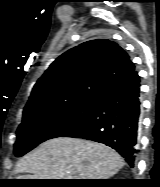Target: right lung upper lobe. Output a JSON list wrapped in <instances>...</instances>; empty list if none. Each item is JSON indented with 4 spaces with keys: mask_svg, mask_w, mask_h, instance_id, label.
<instances>
[{
    "mask_svg": "<svg viewBox=\"0 0 160 187\" xmlns=\"http://www.w3.org/2000/svg\"><path fill=\"white\" fill-rule=\"evenodd\" d=\"M135 70L115 42H84L59 56L35 84L24 111L75 99H100Z\"/></svg>",
    "mask_w": 160,
    "mask_h": 187,
    "instance_id": "cb5924a9",
    "label": "right lung upper lobe"
}]
</instances>
